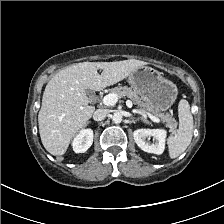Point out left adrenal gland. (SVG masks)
I'll use <instances>...</instances> for the list:
<instances>
[{"label":"left adrenal gland","mask_w":224,"mask_h":224,"mask_svg":"<svg viewBox=\"0 0 224 224\" xmlns=\"http://www.w3.org/2000/svg\"><path fill=\"white\" fill-rule=\"evenodd\" d=\"M143 122H145V123H149L146 119H144V118H140Z\"/></svg>","instance_id":"1"}]
</instances>
